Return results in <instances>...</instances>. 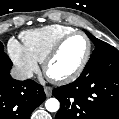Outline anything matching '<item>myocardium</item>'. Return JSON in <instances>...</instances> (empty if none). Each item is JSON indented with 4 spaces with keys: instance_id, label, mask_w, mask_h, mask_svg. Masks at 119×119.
I'll list each match as a JSON object with an SVG mask.
<instances>
[{
    "instance_id": "f54148a6",
    "label": "myocardium",
    "mask_w": 119,
    "mask_h": 119,
    "mask_svg": "<svg viewBox=\"0 0 119 119\" xmlns=\"http://www.w3.org/2000/svg\"><path fill=\"white\" fill-rule=\"evenodd\" d=\"M76 35H80V36L84 37V39L87 42V51H86L85 56L82 59L81 63L78 65V67L73 72L69 73L68 75H65L62 77L51 76L48 71L50 63L58 55V53L61 50L64 43ZM91 54H92V42H91L90 38L82 31H72V32L64 35L63 37H61L55 43V45L52 47V49L48 52V54L46 55V57L43 61V71L46 74V76L54 83H58V84L70 83V82L74 81L75 79H77L82 74V72L84 71V69L86 68V66L90 60Z\"/></svg>"
}]
</instances>
